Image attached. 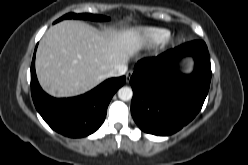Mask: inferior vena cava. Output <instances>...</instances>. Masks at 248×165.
<instances>
[{
	"instance_id": "602c4592",
	"label": "inferior vena cava",
	"mask_w": 248,
	"mask_h": 165,
	"mask_svg": "<svg viewBox=\"0 0 248 165\" xmlns=\"http://www.w3.org/2000/svg\"><path fill=\"white\" fill-rule=\"evenodd\" d=\"M128 67L126 64H120L117 65L115 68H113L109 73H108V77H118V76H122L126 73Z\"/></svg>"
}]
</instances>
